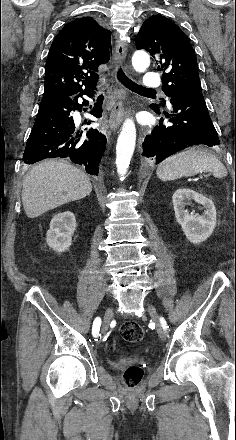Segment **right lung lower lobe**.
I'll return each mask as SVG.
<instances>
[{"instance_id":"right-lung-lower-lobe-1","label":"right lung lower lobe","mask_w":236,"mask_h":440,"mask_svg":"<svg viewBox=\"0 0 236 440\" xmlns=\"http://www.w3.org/2000/svg\"><path fill=\"white\" fill-rule=\"evenodd\" d=\"M87 92L73 97L43 100L28 138L23 154L26 164H33L47 158H68L85 167L87 173L98 176L99 163L106 146V137L97 129H78L73 119L74 111H82L88 101L82 95L93 97ZM103 96H99L91 114L102 116ZM86 110V109H83ZM90 124L91 121H85ZM83 125V124H82Z\"/></svg>"}]
</instances>
